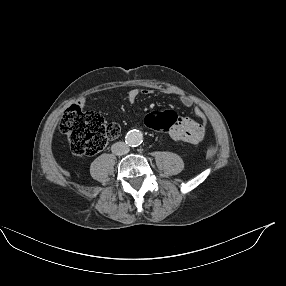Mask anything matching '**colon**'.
I'll use <instances>...</instances> for the list:
<instances>
[{"label":"colon","mask_w":286,"mask_h":286,"mask_svg":"<svg viewBox=\"0 0 286 286\" xmlns=\"http://www.w3.org/2000/svg\"><path fill=\"white\" fill-rule=\"evenodd\" d=\"M180 121V115L167 109L152 110L144 118L146 127L152 131L170 130ZM59 128L67 136L71 151L80 156L97 154L121 133L117 123H107L98 113L83 111L76 105L64 111Z\"/></svg>","instance_id":"obj_1"}]
</instances>
